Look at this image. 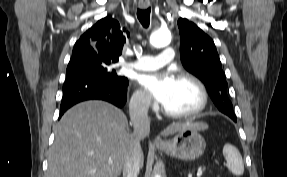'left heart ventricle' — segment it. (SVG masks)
Returning <instances> with one entry per match:
<instances>
[{
  "mask_svg": "<svg viewBox=\"0 0 287 177\" xmlns=\"http://www.w3.org/2000/svg\"><path fill=\"white\" fill-rule=\"evenodd\" d=\"M199 102L200 96L193 84L176 80L163 107L171 112H190L197 108Z\"/></svg>",
  "mask_w": 287,
  "mask_h": 177,
  "instance_id": "obj_1",
  "label": "left heart ventricle"
}]
</instances>
